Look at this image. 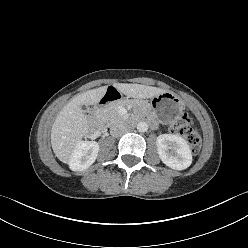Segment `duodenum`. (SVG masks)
Wrapping results in <instances>:
<instances>
[{"label": "duodenum", "mask_w": 248, "mask_h": 248, "mask_svg": "<svg viewBox=\"0 0 248 248\" xmlns=\"http://www.w3.org/2000/svg\"><path fill=\"white\" fill-rule=\"evenodd\" d=\"M120 99V93L114 87H109L105 95L101 98L97 108L92 114V125L97 129L101 130L103 128V116L102 110L105 106ZM126 123L131 125L133 123L132 119H127Z\"/></svg>", "instance_id": "410a0bca"}]
</instances>
